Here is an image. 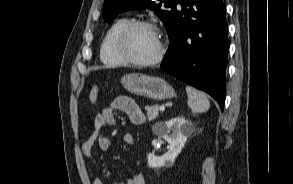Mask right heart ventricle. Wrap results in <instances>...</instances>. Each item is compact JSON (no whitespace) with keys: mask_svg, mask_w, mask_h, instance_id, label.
Masks as SVG:
<instances>
[{"mask_svg":"<svg viewBox=\"0 0 293 184\" xmlns=\"http://www.w3.org/2000/svg\"><path fill=\"white\" fill-rule=\"evenodd\" d=\"M129 22L128 18H120L116 20L107 30L100 44V59L107 66L116 67L124 62L117 56L114 50V39L118 31Z\"/></svg>","mask_w":293,"mask_h":184,"instance_id":"right-heart-ventricle-1","label":"right heart ventricle"}]
</instances>
